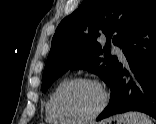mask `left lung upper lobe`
I'll return each instance as SVG.
<instances>
[{
    "mask_svg": "<svg viewBox=\"0 0 156 124\" xmlns=\"http://www.w3.org/2000/svg\"><path fill=\"white\" fill-rule=\"evenodd\" d=\"M154 0H83L58 25L42 77L45 92L68 69L83 68L110 84L118 60L110 56V40L122 48ZM105 35L102 47L97 39ZM104 55V58H100Z\"/></svg>",
    "mask_w": 156,
    "mask_h": 124,
    "instance_id": "5c2ea615",
    "label": "left lung upper lobe"
}]
</instances>
